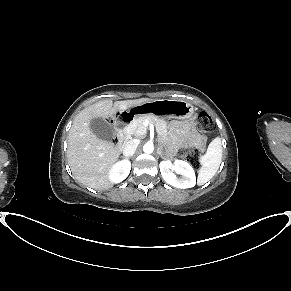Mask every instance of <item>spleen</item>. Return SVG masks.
<instances>
[{
    "label": "spleen",
    "instance_id": "1",
    "mask_svg": "<svg viewBox=\"0 0 291 291\" xmlns=\"http://www.w3.org/2000/svg\"><path fill=\"white\" fill-rule=\"evenodd\" d=\"M222 160L221 138L216 137L209 144L206 154L200 158L202 167L198 174V185L207 183L218 171Z\"/></svg>",
    "mask_w": 291,
    "mask_h": 291
}]
</instances>
